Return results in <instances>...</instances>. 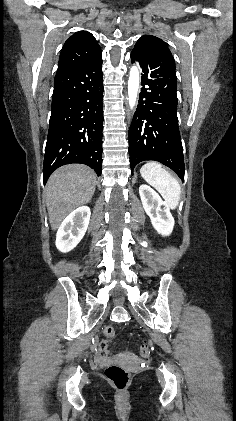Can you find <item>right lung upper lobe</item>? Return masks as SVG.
<instances>
[{"mask_svg":"<svg viewBox=\"0 0 236 421\" xmlns=\"http://www.w3.org/2000/svg\"><path fill=\"white\" fill-rule=\"evenodd\" d=\"M101 54V48L94 36L87 31H78L65 42L57 72L94 61L100 58Z\"/></svg>","mask_w":236,"mask_h":421,"instance_id":"obj_1","label":"right lung upper lobe"}]
</instances>
